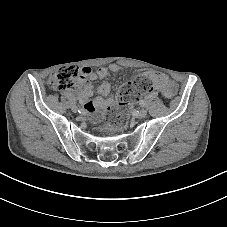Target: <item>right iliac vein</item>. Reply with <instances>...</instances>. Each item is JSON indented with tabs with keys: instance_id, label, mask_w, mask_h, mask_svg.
Segmentation results:
<instances>
[{
	"instance_id": "1",
	"label": "right iliac vein",
	"mask_w": 227,
	"mask_h": 227,
	"mask_svg": "<svg viewBox=\"0 0 227 227\" xmlns=\"http://www.w3.org/2000/svg\"><path fill=\"white\" fill-rule=\"evenodd\" d=\"M72 110H73V112H77V107L75 105L72 106Z\"/></svg>"
}]
</instances>
